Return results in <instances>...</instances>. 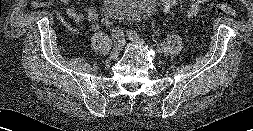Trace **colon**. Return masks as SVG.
I'll list each match as a JSON object with an SVG mask.
<instances>
[{"label":"colon","mask_w":253,"mask_h":131,"mask_svg":"<svg viewBox=\"0 0 253 131\" xmlns=\"http://www.w3.org/2000/svg\"><path fill=\"white\" fill-rule=\"evenodd\" d=\"M179 5V0H159V7L164 12H169L175 10ZM213 12L218 14H224L228 16H236L237 12L230 2H220L213 6ZM101 24L107 29H112L114 26V21L108 17L103 16L101 19Z\"/></svg>","instance_id":"obj_1"}]
</instances>
